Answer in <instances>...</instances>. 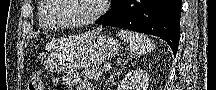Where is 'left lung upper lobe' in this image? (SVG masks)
I'll list each match as a JSON object with an SVG mask.
<instances>
[{"label":"left lung upper lobe","instance_id":"left-lung-upper-lobe-1","mask_svg":"<svg viewBox=\"0 0 216 90\" xmlns=\"http://www.w3.org/2000/svg\"><path fill=\"white\" fill-rule=\"evenodd\" d=\"M112 3H113V6H115L117 3V0H112Z\"/></svg>","mask_w":216,"mask_h":90}]
</instances>
